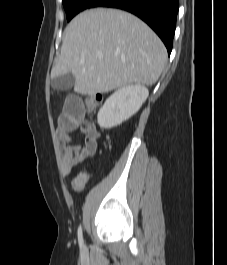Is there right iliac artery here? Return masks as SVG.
I'll return each mask as SVG.
<instances>
[{
    "label": "right iliac artery",
    "instance_id": "82829eb1",
    "mask_svg": "<svg viewBox=\"0 0 227 265\" xmlns=\"http://www.w3.org/2000/svg\"><path fill=\"white\" fill-rule=\"evenodd\" d=\"M78 241H79L80 247H82L83 246V234H82V227H81V225L78 228Z\"/></svg>",
    "mask_w": 227,
    "mask_h": 265
}]
</instances>
